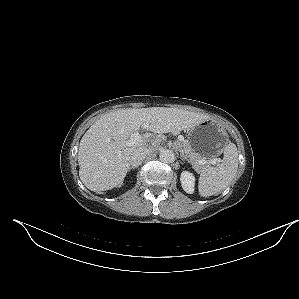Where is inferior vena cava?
<instances>
[{
  "mask_svg": "<svg viewBox=\"0 0 299 299\" xmlns=\"http://www.w3.org/2000/svg\"><path fill=\"white\" fill-rule=\"evenodd\" d=\"M151 152L152 149L147 147L135 150L130 157L131 165L134 167H138L143 162L145 157L149 155Z\"/></svg>",
  "mask_w": 299,
  "mask_h": 299,
  "instance_id": "602c4592",
  "label": "inferior vena cava"
}]
</instances>
